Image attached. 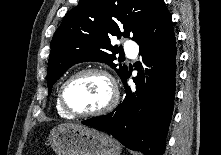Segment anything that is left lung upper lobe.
I'll list each match as a JSON object with an SVG mask.
<instances>
[{
    "label": "left lung upper lobe",
    "instance_id": "1",
    "mask_svg": "<svg viewBox=\"0 0 221 155\" xmlns=\"http://www.w3.org/2000/svg\"><path fill=\"white\" fill-rule=\"evenodd\" d=\"M163 3V0H80L65 15L51 42L49 94L53 84L79 62H105L123 79L128 69L113 63L118 47L111 45L110 38L124 36L136 41Z\"/></svg>",
    "mask_w": 221,
    "mask_h": 155
}]
</instances>
